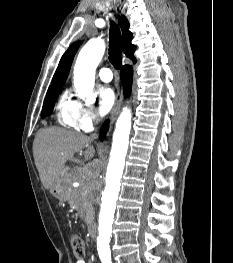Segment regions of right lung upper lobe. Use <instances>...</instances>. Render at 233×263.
<instances>
[{"mask_svg":"<svg viewBox=\"0 0 233 263\" xmlns=\"http://www.w3.org/2000/svg\"><path fill=\"white\" fill-rule=\"evenodd\" d=\"M119 24H120V27L122 30L124 53L130 59L135 60L134 51H135L136 47H135V45H133L131 43L133 35L129 31V22L127 21V19L124 16H121L119 18ZM78 48H79V42L74 43L63 54V56L59 62V65L56 69V72L53 76L52 85L49 87V89L59 88V87H62L64 85V83L67 79V76H68L74 55L76 54Z\"/></svg>","mask_w":233,"mask_h":263,"instance_id":"cb5924a9","label":"right lung upper lobe"}]
</instances>
